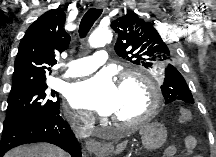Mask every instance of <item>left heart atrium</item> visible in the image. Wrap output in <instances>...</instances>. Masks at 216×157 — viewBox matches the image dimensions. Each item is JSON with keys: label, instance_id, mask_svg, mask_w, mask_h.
<instances>
[{"label": "left heart atrium", "instance_id": "left-heart-atrium-1", "mask_svg": "<svg viewBox=\"0 0 216 157\" xmlns=\"http://www.w3.org/2000/svg\"><path fill=\"white\" fill-rule=\"evenodd\" d=\"M68 99L75 108L89 109L100 115H111L118 105V87L105 71L71 86Z\"/></svg>", "mask_w": 216, "mask_h": 157}]
</instances>
